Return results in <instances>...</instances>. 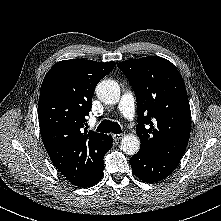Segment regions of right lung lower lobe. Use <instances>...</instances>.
<instances>
[{
    "label": "right lung lower lobe",
    "instance_id": "98d812e1",
    "mask_svg": "<svg viewBox=\"0 0 221 221\" xmlns=\"http://www.w3.org/2000/svg\"><path fill=\"white\" fill-rule=\"evenodd\" d=\"M112 142H113V139H112L111 136H109V141H108V146H107L106 153L111 149ZM103 170H104V164H103V161H102L101 165L95 171V173L87 181L80 184L79 187H82V188L91 187V186L95 185L96 183H98L104 175Z\"/></svg>",
    "mask_w": 221,
    "mask_h": 221
}]
</instances>
